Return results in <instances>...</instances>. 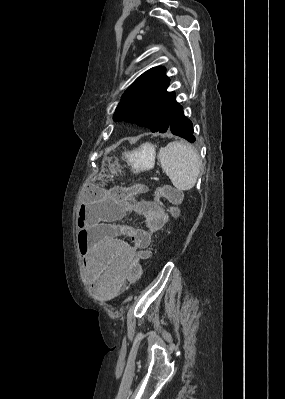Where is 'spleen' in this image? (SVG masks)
I'll return each mask as SVG.
<instances>
[{
    "label": "spleen",
    "mask_w": 285,
    "mask_h": 399,
    "mask_svg": "<svg viewBox=\"0 0 285 399\" xmlns=\"http://www.w3.org/2000/svg\"><path fill=\"white\" fill-rule=\"evenodd\" d=\"M159 161L173 185L181 191L192 189L200 172V158L195 150L174 141L160 149Z\"/></svg>",
    "instance_id": "3e777b00"
}]
</instances>
